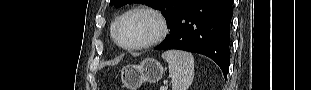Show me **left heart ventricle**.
I'll return each mask as SVG.
<instances>
[{
  "label": "left heart ventricle",
  "instance_id": "b2bd125f",
  "mask_svg": "<svg viewBox=\"0 0 311 90\" xmlns=\"http://www.w3.org/2000/svg\"><path fill=\"white\" fill-rule=\"evenodd\" d=\"M157 30L155 20L146 14L127 16L118 27V39L122 44H138L150 39Z\"/></svg>",
  "mask_w": 311,
  "mask_h": 90
}]
</instances>
